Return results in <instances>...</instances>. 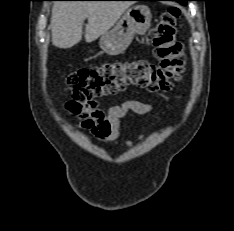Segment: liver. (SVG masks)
<instances>
[{"label":"liver","mask_w":234,"mask_h":231,"mask_svg":"<svg viewBox=\"0 0 234 231\" xmlns=\"http://www.w3.org/2000/svg\"><path fill=\"white\" fill-rule=\"evenodd\" d=\"M132 1H59L54 3L50 20L52 44L71 48L82 39L83 23L88 19L85 40L90 43L118 21Z\"/></svg>","instance_id":"6515ba94"}]
</instances>
